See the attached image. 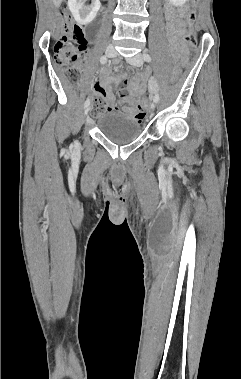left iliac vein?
Wrapping results in <instances>:
<instances>
[{
    "mask_svg": "<svg viewBox=\"0 0 241 379\" xmlns=\"http://www.w3.org/2000/svg\"><path fill=\"white\" fill-rule=\"evenodd\" d=\"M127 62L133 66L140 67L141 65H143L144 60L142 54H136L133 57L127 58ZM155 104L156 102L153 100V102L151 103V109L155 108Z\"/></svg>",
    "mask_w": 241,
    "mask_h": 379,
    "instance_id": "1",
    "label": "left iliac vein"
}]
</instances>
